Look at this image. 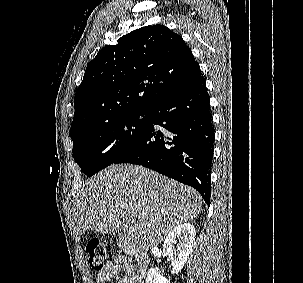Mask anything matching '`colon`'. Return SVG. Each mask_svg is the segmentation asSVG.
Returning a JSON list of instances; mask_svg holds the SVG:
<instances>
[{
    "mask_svg": "<svg viewBox=\"0 0 303 283\" xmlns=\"http://www.w3.org/2000/svg\"><path fill=\"white\" fill-rule=\"evenodd\" d=\"M85 250L89 264L95 271H102L107 262L113 260L115 256L112 244L98 238L88 240Z\"/></svg>",
    "mask_w": 303,
    "mask_h": 283,
    "instance_id": "colon-1",
    "label": "colon"
}]
</instances>
